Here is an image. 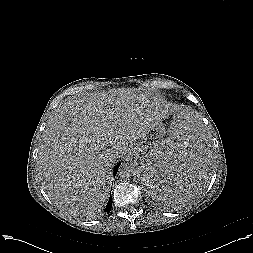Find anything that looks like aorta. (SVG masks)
<instances>
[{
    "label": "aorta",
    "instance_id": "aorta-1",
    "mask_svg": "<svg viewBox=\"0 0 253 253\" xmlns=\"http://www.w3.org/2000/svg\"><path fill=\"white\" fill-rule=\"evenodd\" d=\"M135 171L132 163L124 162L120 165L118 174L122 178H129Z\"/></svg>",
    "mask_w": 253,
    "mask_h": 253
}]
</instances>
